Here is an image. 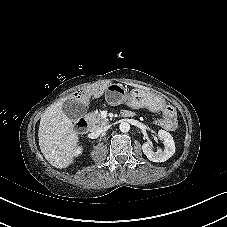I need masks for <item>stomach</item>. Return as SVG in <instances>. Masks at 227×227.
<instances>
[{
	"label": "stomach",
	"mask_w": 227,
	"mask_h": 227,
	"mask_svg": "<svg viewBox=\"0 0 227 227\" xmlns=\"http://www.w3.org/2000/svg\"><path fill=\"white\" fill-rule=\"evenodd\" d=\"M106 94L109 102L113 105L127 102L132 107L147 108L151 111H159L165 106L162 97L143 89H133L128 92L121 85L110 84Z\"/></svg>",
	"instance_id": "1"
}]
</instances>
